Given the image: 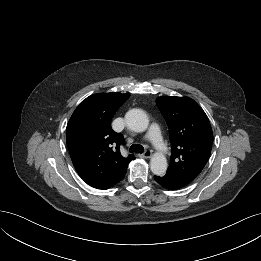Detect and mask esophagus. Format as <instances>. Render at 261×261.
I'll list each match as a JSON object with an SVG mask.
<instances>
[{"label":"esophagus","mask_w":261,"mask_h":261,"mask_svg":"<svg viewBox=\"0 0 261 261\" xmlns=\"http://www.w3.org/2000/svg\"><path fill=\"white\" fill-rule=\"evenodd\" d=\"M151 156H152L151 150H146L144 153L139 154V157L145 158V159L150 158Z\"/></svg>","instance_id":"1"}]
</instances>
